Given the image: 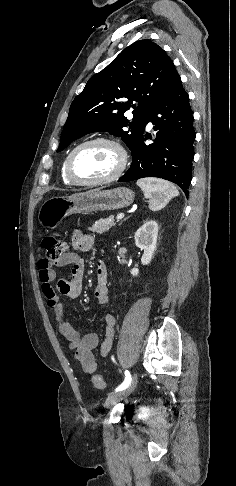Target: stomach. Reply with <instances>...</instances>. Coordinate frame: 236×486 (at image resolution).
<instances>
[{"mask_svg": "<svg viewBox=\"0 0 236 486\" xmlns=\"http://www.w3.org/2000/svg\"><path fill=\"white\" fill-rule=\"evenodd\" d=\"M134 197V192L126 187L95 190L71 197H52L41 205L38 221L46 229H55L71 214L122 209L131 205Z\"/></svg>", "mask_w": 236, "mask_h": 486, "instance_id": "stomach-1", "label": "stomach"}]
</instances>
